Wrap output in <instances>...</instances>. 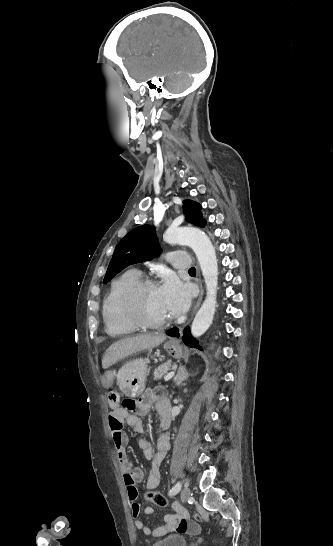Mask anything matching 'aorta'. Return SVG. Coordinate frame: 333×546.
I'll return each instance as SVG.
<instances>
[{
	"label": "aorta",
	"instance_id": "aorta-1",
	"mask_svg": "<svg viewBox=\"0 0 333 546\" xmlns=\"http://www.w3.org/2000/svg\"><path fill=\"white\" fill-rule=\"evenodd\" d=\"M164 238L168 243L191 247L198 259L207 295L193 320L191 333L194 337H200L210 327L216 308L218 266L215 249L207 235L195 227L169 229Z\"/></svg>",
	"mask_w": 333,
	"mask_h": 546
}]
</instances>
